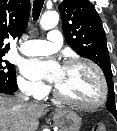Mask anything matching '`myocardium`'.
<instances>
[{
    "label": "myocardium",
    "mask_w": 117,
    "mask_h": 131,
    "mask_svg": "<svg viewBox=\"0 0 117 131\" xmlns=\"http://www.w3.org/2000/svg\"><path fill=\"white\" fill-rule=\"evenodd\" d=\"M75 65H85L88 66L89 68H91L100 83V87H101V93H100V97L99 99L93 103V104H84V103H80L78 101L72 100L70 98H67L66 96H64L59 90L58 88L55 86L54 90H53V94L55 96V98L59 101H61L62 103H65L67 105L82 109V110H87V111H92V110H96L100 107H102L106 100H107V96H108V86H107V82L105 79V76L101 70V68L95 64L94 62L87 60V59H82V58H74V59H69L67 61H65L63 67H71V66H75Z\"/></svg>",
    "instance_id": "f54148a6"
}]
</instances>
